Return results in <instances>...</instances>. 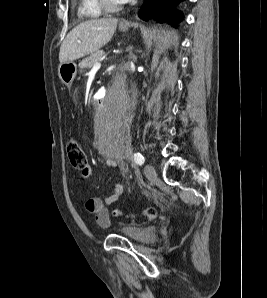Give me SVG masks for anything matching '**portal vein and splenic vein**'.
<instances>
[{"mask_svg": "<svg viewBox=\"0 0 267 298\" xmlns=\"http://www.w3.org/2000/svg\"><path fill=\"white\" fill-rule=\"evenodd\" d=\"M101 67V62L100 60L97 61L94 65H93V69H99Z\"/></svg>", "mask_w": 267, "mask_h": 298, "instance_id": "1", "label": "portal vein and splenic vein"}]
</instances>
